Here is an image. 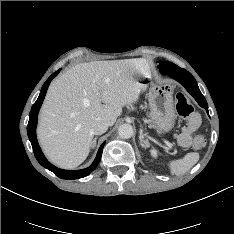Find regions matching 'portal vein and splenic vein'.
I'll use <instances>...</instances> for the list:
<instances>
[{
  "mask_svg": "<svg viewBox=\"0 0 234 234\" xmlns=\"http://www.w3.org/2000/svg\"><path fill=\"white\" fill-rule=\"evenodd\" d=\"M165 143H166V145H167L169 148H171V149H172L173 146H174L172 143H170V142H168V141H166V140H165Z\"/></svg>",
  "mask_w": 234,
  "mask_h": 234,
  "instance_id": "portal-vein-and-splenic-vein-1",
  "label": "portal vein and splenic vein"
}]
</instances>
